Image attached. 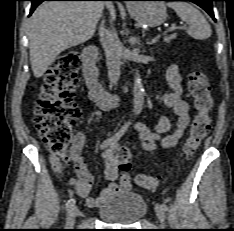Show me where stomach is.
<instances>
[{
  "instance_id": "obj_1",
  "label": "stomach",
  "mask_w": 234,
  "mask_h": 231,
  "mask_svg": "<svg viewBox=\"0 0 234 231\" xmlns=\"http://www.w3.org/2000/svg\"><path fill=\"white\" fill-rule=\"evenodd\" d=\"M129 12L138 23L149 27L163 24L167 17L165 4L157 1L132 3Z\"/></svg>"
}]
</instances>
